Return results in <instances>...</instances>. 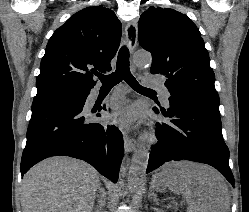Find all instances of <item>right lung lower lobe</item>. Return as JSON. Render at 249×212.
Returning a JSON list of instances; mask_svg holds the SVG:
<instances>
[{
  "instance_id": "1",
  "label": "right lung lower lobe",
  "mask_w": 249,
  "mask_h": 212,
  "mask_svg": "<svg viewBox=\"0 0 249 212\" xmlns=\"http://www.w3.org/2000/svg\"><path fill=\"white\" fill-rule=\"evenodd\" d=\"M89 93L33 101L21 160L22 176L45 158L65 155L85 160L103 176L117 182L124 153L123 137L115 126L89 122L90 118L101 116L92 115L96 110L87 111L85 102Z\"/></svg>"
}]
</instances>
